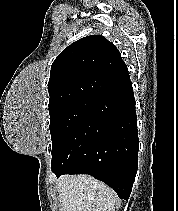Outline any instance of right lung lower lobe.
<instances>
[{"mask_svg":"<svg viewBox=\"0 0 178 211\" xmlns=\"http://www.w3.org/2000/svg\"><path fill=\"white\" fill-rule=\"evenodd\" d=\"M139 139L132 83L100 98L52 154V172L89 174L128 200Z\"/></svg>","mask_w":178,"mask_h":211,"instance_id":"1","label":"right lung lower lobe"}]
</instances>
